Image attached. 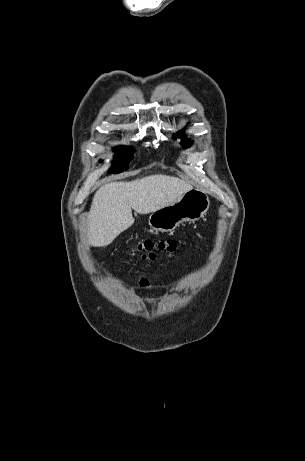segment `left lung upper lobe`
Wrapping results in <instances>:
<instances>
[{
  "instance_id": "5c2ea615",
  "label": "left lung upper lobe",
  "mask_w": 305,
  "mask_h": 461,
  "mask_svg": "<svg viewBox=\"0 0 305 461\" xmlns=\"http://www.w3.org/2000/svg\"><path fill=\"white\" fill-rule=\"evenodd\" d=\"M177 137L181 138V139H184L185 138V135L183 134L182 131H179L178 133H176ZM181 144L183 145V147H187V146H190L191 145V142L189 139H184Z\"/></svg>"
}]
</instances>
